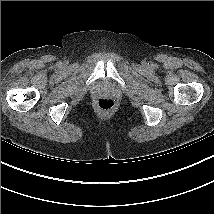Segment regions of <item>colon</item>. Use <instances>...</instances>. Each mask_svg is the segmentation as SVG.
<instances>
[{"instance_id":"1","label":"colon","mask_w":214,"mask_h":214,"mask_svg":"<svg viewBox=\"0 0 214 214\" xmlns=\"http://www.w3.org/2000/svg\"><path fill=\"white\" fill-rule=\"evenodd\" d=\"M97 105L102 111H108L114 107L115 103L110 98H100Z\"/></svg>"}]
</instances>
